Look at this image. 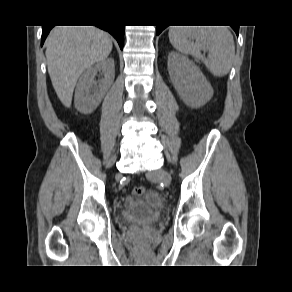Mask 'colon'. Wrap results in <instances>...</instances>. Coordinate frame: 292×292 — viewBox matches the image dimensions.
Here are the masks:
<instances>
[{
  "label": "colon",
  "instance_id": "1",
  "mask_svg": "<svg viewBox=\"0 0 292 292\" xmlns=\"http://www.w3.org/2000/svg\"><path fill=\"white\" fill-rule=\"evenodd\" d=\"M133 193L136 195V196H142L145 194V188L144 187H141V186H138V187H135L133 189Z\"/></svg>",
  "mask_w": 292,
  "mask_h": 292
}]
</instances>
